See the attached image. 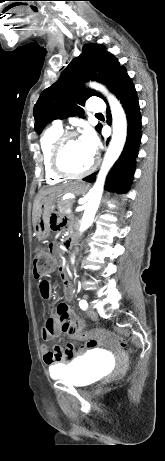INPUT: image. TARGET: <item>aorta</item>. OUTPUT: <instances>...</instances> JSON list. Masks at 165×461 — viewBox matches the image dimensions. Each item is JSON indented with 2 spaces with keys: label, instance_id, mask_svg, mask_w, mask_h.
I'll return each mask as SVG.
<instances>
[{
  "label": "aorta",
  "instance_id": "762f6f07",
  "mask_svg": "<svg viewBox=\"0 0 165 461\" xmlns=\"http://www.w3.org/2000/svg\"><path fill=\"white\" fill-rule=\"evenodd\" d=\"M89 86L99 90L107 97L112 113L113 134L109 147L104 156V160L98 173L96 182L93 188L90 190V199L85 204V210L80 225L81 232L85 231L93 223L102 197L106 176L115 161L120 156L127 135L126 115L120 102L112 94H110L104 86L98 83H90Z\"/></svg>",
  "mask_w": 165,
  "mask_h": 461
}]
</instances>
